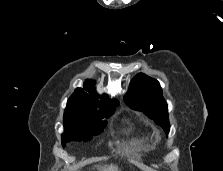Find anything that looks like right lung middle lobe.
<instances>
[{
    "mask_svg": "<svg viewBox=\"0 0 223 171\" xmlns=\"http://www.w3.org/2000/svg\"><path fill=\"white\" fill-rule=\"evenodd\" d=\"M115 107H109L97 111L96 108H70L64 112V133L62 134V144L70 141L87 142L93 135H98L106 127L108 118L115 111Z\"/></svg>",
    "mask_w": 223,
    "mask_h": 171,
    "instance_id": "obj_1",
    "label": "right lung middle lobe"
}]
</instances>
